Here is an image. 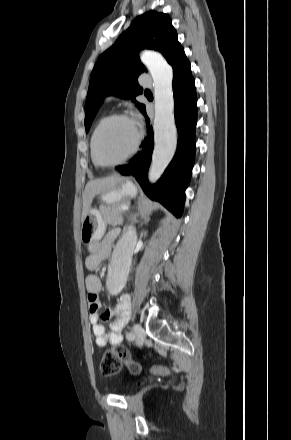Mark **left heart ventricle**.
Wrapping results in <instances>:
<instances>
[{
  "instance_id": "1",
  "label": "left heart ventricle",
  "mask_w": 291,
  "mask_h": 440,
  "mask_svg": "<svg viewBox=\"0 0 291 440\" xmlns=\"http://www.w3.org/2000/svg\"><path fill=\"white\" fill-rule=\"evenodd\" d=\"M134 125L127 120L115 119L107 122L97 137V154L102 161L123 159L135 141Z\"/></svg>"
}]
</instances>
